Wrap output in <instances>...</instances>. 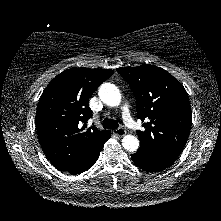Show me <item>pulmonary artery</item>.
I'll list each match as a JSON object with an SVG mask.
<instances>
[{"instance_id":"obj_1","label":"pulmonary artery","mask_w":221,"mask_h":221,"mask_svg":"<svg viewBox=\"0 0 221 221\" xmlns=\"http://www.w3.org/2000/svg\"><path fill=\"white\" fill-rule=\"evenodd\" d=\"M122 116L124 119L125 124L132 129L137 128V124L134 122V120L131 117L130 110L127 104H124L122 106Z\"/></svg>"}]
</instances>
